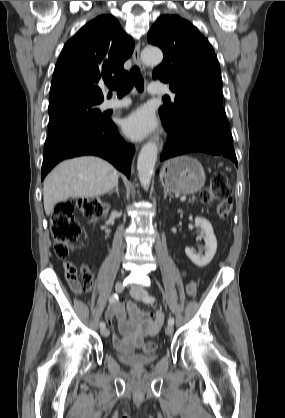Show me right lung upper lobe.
Segmentation results:
<instances>
[{
	"label": "right lung upper lobe",
	"instance_id": "obj_1",
	"mask_svg": "<svg viewBox=\"0 0 285 418\" xmlns=\"http://www.w3.org/2000/svg\"><path fill=\"white\" fill-rule=\"evenodd\" d=\"M134 41L111 15L85 24L63 47L54 69L49 106L71 102L101 103L99 84L122 80L123 64L134 50Z\"/></svg>",
	"mask_w": 285,
	"mask_h": 418
}]
</instances>
